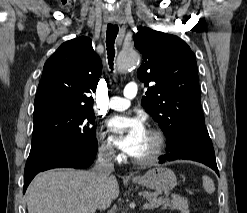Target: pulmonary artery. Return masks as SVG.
Returning <instances> with one entry per match:
<instances>
[{
  "label": "pulmonary artery",
  "mask_w": 247,
  "mask_h": 213,
  "mask_svg": "<svg viewBox=\"0 0 247 213\" xmlns=\"http://www.w3.org/2000/svg\"><path fill=\"white\" fill-rule=\"evenodd\" d=\"M138 87L135 83H129L124 88V97H112L108 101V107L114 110H125L130 106V100L137 95Z\"/></svg>",
  "instance_id": "pulmonary-artery-1"
}]
</instances>
